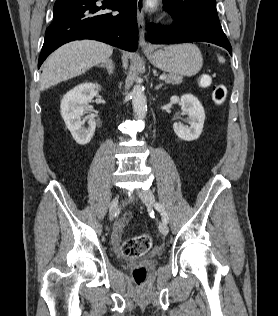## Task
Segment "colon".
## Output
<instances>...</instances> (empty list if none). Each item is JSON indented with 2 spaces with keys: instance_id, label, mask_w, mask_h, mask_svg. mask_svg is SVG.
Here are the masks:
<instances>
[{
  "instance_id": "colon-1",
  "label": "colon",
  "mask_w": 278,
  "mask_h": 316,
  "mask_svg": "<svg viewBox=\"0 0 278 316\" xmlns=\"http://www.w3.org/2000/svg\"><path fill=\"white\" fill-rule=\"evenodd\" d=\"M209 78L201 76L199 83L202 86L209 85ZM227 97V87L224 84H216L212 87V99L216 104H222ZM152 239L148 234H141L129 240H126L121 246V253L125 257L136 258L145 255L151 248ZM133 277L137 285H143L146 280V271L144 268H136L133 271Z\"/></svg>"
}]
</instances>
